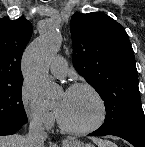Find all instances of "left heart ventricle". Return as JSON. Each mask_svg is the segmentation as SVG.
<instances>
[{
  "label": "left heart ventricle",
  "instance_id": "b2bd125f",
  "mask_svg": "<svg viewBox=\"0 0 145 147\" xmlns=\"http://www.w3.org/2000/svg\"><path fill=\"white\" fill-rule=\"evenodd\" d=\"M54 106L63 120L73 127L89 126L100 115L97 100L86 89L61 93L57 97Z\"/></svg>",
  "mask_w": 145,
  "mask_h": 147
}]
</instances>
